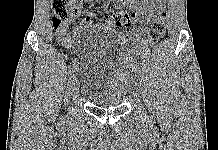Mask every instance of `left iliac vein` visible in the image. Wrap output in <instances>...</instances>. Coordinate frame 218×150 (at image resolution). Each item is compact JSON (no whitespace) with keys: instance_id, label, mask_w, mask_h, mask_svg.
<instances>
[{"instance_id":"4c4485c4","label":"left iliac vein","mask_w":218,"mask_h":150,"mask_svg":"<svg viewBox=\"0 0 218 150\" xmlns=\"http://www.w3.org/2000/svg\"><path fill=\"white\" fill-rule=\"evenodd\" d=\"M135 79H136L137 81H133V82L131 83V84L133 85V89H132V90H133L134 92L137 90L139 84L142 83V76H137Z\"/></svg>"}]
</instances>
